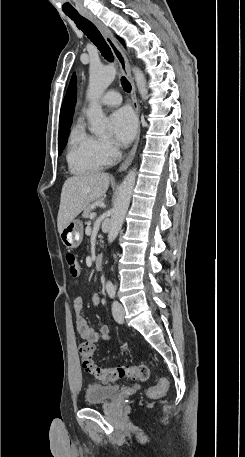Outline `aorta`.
<instances>
[{"instance_id":"aorta-1","label":"aorta","mask_w":245,"mask_h":457,"mask_svg":"<svg viewBox=\"0 0 245 457\" xmlns=\"http://www.w3.org/2000/svg\"><path fill=\"white\" fill-rule=\"evenodd\" d=\"M135 81L138 91L143 99L147 98L146 79L142 71L138 68L133 69ZM116 76V69L114 66L91 67L89 76V86L87 97L90 101L87 110V116L91 124V130L101 135L105 133L109 120L103 114L102 108L99 104V99L113 82ZM136 181V169L133 168L129 171L122 184L120 185L119 192L112 210L110 218V226L108 232V242L112 243L117 237L127 213L133 189Z\"/></svg>"}]
</instances>
